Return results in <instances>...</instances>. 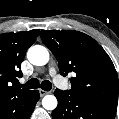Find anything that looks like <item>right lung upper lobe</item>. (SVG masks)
<instances>
[{"label": "right lung upper lobe", "mask_w": 119, "mask_h": 119, "mask_svg": "<svg viewBox=\"0 0 119 119\" xmlns=\"http://www.w3.org/2000/svg\"><path fill=\"white\" fill-rule=\"evenodd\" d=\"M39 30L0 34V99L28 91L15 84L27 49L35 42ZM14 82V83H13Z\"/></svg>", "instance_id": "1"}]
</instances>
